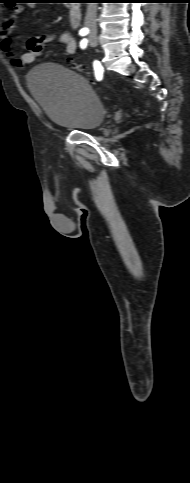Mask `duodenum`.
<instances>
[{
	"label": "duodenum",
	"instance_id": "obj_1",
	"mask_svg": "<svg viewBox=\"0 0 190 483\" xmlns=\"http://www.w3.org/2000/svg\"><path fill=\"white\" fill-rule=\"evenodd\" d=\"M69 23L71 27H78L81 21V11L78 6L71 7L68 11Z\"/></svg>",
	"mask_w": 190,
	"mask_h": 483
}]
</instances>
